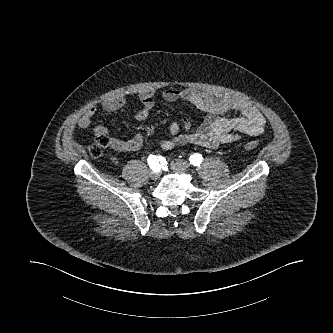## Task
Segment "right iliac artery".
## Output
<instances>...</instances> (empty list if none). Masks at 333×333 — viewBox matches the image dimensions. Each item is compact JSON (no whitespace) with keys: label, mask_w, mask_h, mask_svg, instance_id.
Returning a JSON list of instances; mask_svg holds the SVG:
<instances>
[{"label":"right iliac artery","mask_w":333,"mask_h":333,"mask_svg":"<svg viewBox=\"0 0 333 333\" xmlns=\"http://www.w3.org/2000/svg\"><path fill=\"white\" fill-rule=\"evenodd\" d=\"M147 161L153 171H159L161 169L160 163H163L164 158L162 156L150 155Z\"/></svg>","instance_id":"right-iliac-artery-1"}]
</instances>
